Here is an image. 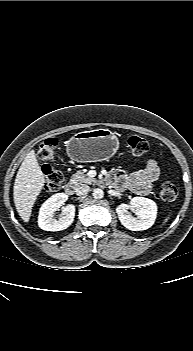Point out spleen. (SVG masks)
Wrapping results in <instances>:
<instances>
[{"label": "spleen", "instance_id": "spleen-1", "mask_svg": "<svg viewBox=\"0 0 193 351\" xmlns=\"http://www.w3.org/2000/svg\"><path fill=\"white\" fill-rule=\"evenodd\" d=\"M168 219H169V217H167V218L165 219L164 223H165V222H167V221H168Z\"/></svg>", "mask_w": 193, "mask_h": 351}]
</instances>
